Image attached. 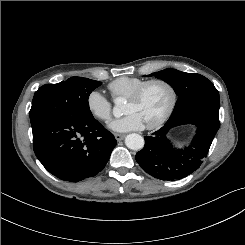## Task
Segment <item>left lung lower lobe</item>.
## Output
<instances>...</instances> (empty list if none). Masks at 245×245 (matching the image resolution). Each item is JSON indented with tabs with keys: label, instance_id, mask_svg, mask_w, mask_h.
I'll use <instances>...</instances> for the list:
<instances>
[{
	"label": "left lung lower lobe",
	"instance_id": "1",
	"mask_svg": "<svg viewBox=\"0 0 245 245\" xmlns=\"http://www.w3.org/2000/svg\"><path fill=\"white\" fill-rule=\"evenodd\" d=\"M192 124L197 133L188 147L177 150L166 138L174 127ZM220 127L219 107L202 105L189 108L169 119L165 125L145 137V146L135 159L141 168L161 180H179L199 168Z\"/></svg>",
	"mask_w": 245,
	"mask_h": 245
}]
</instances>
